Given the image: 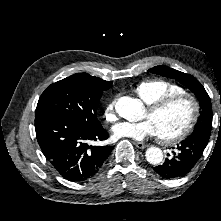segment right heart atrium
<instances>
[{
  "label": "right heart atrium",
  "instance_id": "obj_1",
  "mask_svg": "<svg viewBox=\"0 0 221 221\" xmlns=\"http://www.w3.org/2000/svg\"><path fill=\"white\" fill-rule=\"evenodd\" d=\"M115 102H116L115 99H111L106 104L105 109H104V118L109 123H113L117 119L116 112H115Z\"/></svg>",
  "mask_w": 221,
  "mask_h": 221
}]
</instances>
